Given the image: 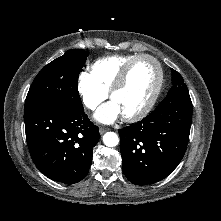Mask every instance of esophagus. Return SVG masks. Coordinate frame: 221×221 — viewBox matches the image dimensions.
I'll use <instances>...</instances> for the list:
<instances>
[{"mask_svg":"<svg viewBox=\"0 0 221 221\" xmlns=\"http://www.w3.org/2000/svg\"><path fill=\"white\" fill-rule=\"evenodd\" d=\"M107 130H108V128L100 127L99 132H100V134H104Z\"/></svg>","mask_w":221,"mask_h":221,"instance_id":"esophagus-1","label":"esophagus"}]
</instances>
